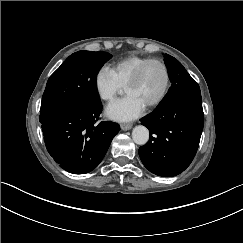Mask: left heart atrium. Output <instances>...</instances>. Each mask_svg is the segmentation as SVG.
<instances>
[{
  "label": "left heart atrium",
  "instance_id": "obj_1",
  "mask_svg": "<svg viewBox=\"0 0 243 243\" xmlns=\"http://www.w3.org/2000/svg\"><path fill=\"white\" fill-rule=\"evenodd\" d=\"M146 105L135 95L115 100L105 107V114L115 121H130L139 117Z\"/></svg>",
  "mask_w": 243,
  "mask_h": 243
}]
</instances>
